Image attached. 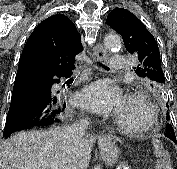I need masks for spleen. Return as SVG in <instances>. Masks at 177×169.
Here are the masks:
<instances>
[{
    "instance_id": "obj_1",
    "label": "spleen",
    "mask_w": 177,
    "mask_h": 169,
    "mask_svg": "<svg viewBox=\"0 0 177 169\" xmlns=\"http://www.w3.org/2000/svg\"><path fill=\"white\" fill-rule=\"evenodd\" d=\"M154 147V155L156 156L155 169H173L170 163L168 153L164 150L163 145L159 139H152Z\"/></svg>"
}]
</instances>
